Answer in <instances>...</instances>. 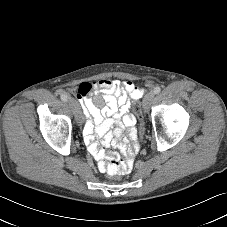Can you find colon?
Segmentation results:
<instances>
[{"mask_svg": "<svg viewBox=\"0 0 227 227\" xmlns=\"http://www.w3.org/2000/svg\"><path fill=\"white\" fill-rule=\"evenodd\" d=\"M134 112L136 113V119L140 121V128L138 129L139 136L141 139H144L145 118L141 115L139 104L135 105ZM100 163L104 166L107 174L113 178H118L120 175L127 173L132 166L131 159H128L124 164H119L113 153L105 154Z\"/></svg>", "mask_w": 227, "mask_h": 227, "instance_id": "obj_1", "label": "colon"}]
</instances>
